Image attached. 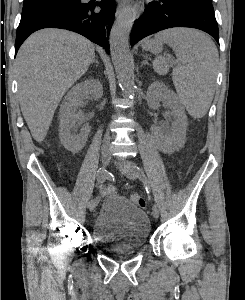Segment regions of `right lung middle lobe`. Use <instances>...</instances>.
Returning <instances> with one entry per match:
<instances>
[{"instance_id":"right-lung-middle-lobe-1","label":"right lung middle lobe","mask_w":245,"mask_h":300,"mask_svg":"<svg viewBox=\"0 0 245 300\" xmlns=\"http://www.w3.org/2000/svg\"><path fill=\"white\" fill-rule=\"evenodd\" d=\"M79 3H81V0H34L24 2L21 18L45 12L61 6Z\"/></svg>"}]
</instances>
